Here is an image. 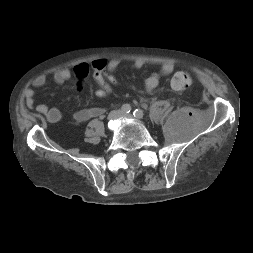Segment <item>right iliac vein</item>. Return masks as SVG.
Instances as JSON below:
<instances>
[{
	"label": "right iliac vein",
	"mask_w": 253,
	"mask_h": 253,
	"mask_svg": "<svg viewBox=\"0 0 253 253\" xmlns=\"http://www.w3.org/2000/svg\"><path fill=\"white\" fill-rule=\"evenodd\" d=\"M120 117H122V112L119 110H114V111L110 112V114L108 115V119L112 120V121L115 119H118Z\"/></svg>",
	"instance_id": "obj_1"
}]
</instances>
